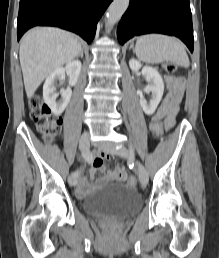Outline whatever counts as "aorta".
I'll return each instance as SVG.
<instances>
[{
  "label": "aorta",
  "instance_id": "aorta-1",
  "mask_svg": "<svg viewBox=\"0 0 219 258\" xmlns=\"http://www.w3.org/2000/svg\"><path fill=\"white\" fill-rule=\"evenodd\" d=\"M130 0H113L106 14V26L111 28L116 24L129 6Z\"/></svg>",
  "mask_w": 219,
  "mask_h": 258
}]
</instances>
